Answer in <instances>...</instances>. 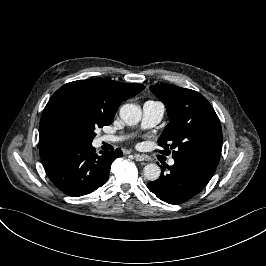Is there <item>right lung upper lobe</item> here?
<instances>
[{
    "label": "right lung upper lobe",
    "instance_id": "cb5924a9",
    "mask_svg": "<svg viewBox=\"0 0 266 266\" xmlns=\"http://www.w3.org/2000/svg\"><path fill=\"white\" fill-rule=\"evenodd\" d=\"M77 88L91 89L98 92L104 106L109 111L116 113L122 101L135 96L145 87L141 84H126L102 78L78 80L62 86L50 98L40 120L39 150L43 163L47 162L60 148L69 145L57 121L56 103L64 93Z\"/></svg>",
    "mask_w": 266,
    "mask_h": 266
}]
</instances>
